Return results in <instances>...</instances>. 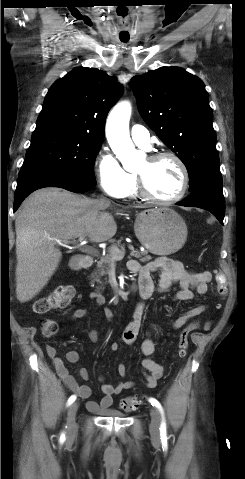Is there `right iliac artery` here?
<instances>
[{"label": "right iliac artery", "instance_id": "obj_1", "mask_svg": "<svg viewBox=\"0 0 245 479\" xmlns=\"http://www.w3.org/2000/svg\"><path fill=\"white\" fill-rule=\"evenodd\" d=\"M76 400V396L72 395L67 401V406L71 405Z\"/></svg>", "mask_w": 245, "mask_h": 479}]
</instances>
